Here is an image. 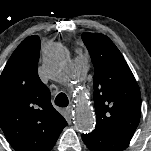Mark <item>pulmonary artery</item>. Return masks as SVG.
Returning a JSON list of instances; mask_svg holds the SVG:
<instances>
[{
    "label": "pulmonary artery",
    "mask_w": 151,
    "mask_h": 151,
    "mask_svg": "<svg viewBox=\"0 0 151 151\" xmlns=\"http://www.w3.org/2000/svg\"><path fill=\"white\" fill-rule=\"evenodd\" d=\"M87 67V58L82 53H78L75 58V69L77 74L82 76L84 75Z\"/></svg>",
    "instance_id": "e3ab8cb5"
}]
</instances>
